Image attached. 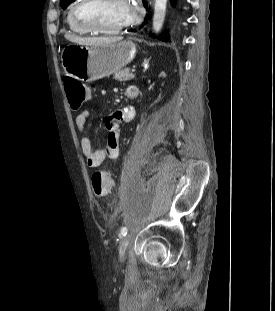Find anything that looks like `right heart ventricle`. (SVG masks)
<instances>
[{"label":"right heart ventricle","mask_w":275,"mask_h":311,"mask_svg":"<svg viewBox=\"0 0 275 311\" xmlns=\"http://www.w3.org/2000/svg\"><path fill=\"white\" fill-rule=\"evenodd\" d=\"M77 2H78V0H76L75 4ZM71 8H70V10H69V12L67 14V25H68L69 29L72 32L77 33V34H82V35L89 34L90 32L88 30L84 29L83 27H81V26H79V25H77L76 23L73 22V20L71 18Z\"/></svg>","instance_id":"e07e8e85"}]
</instances>
